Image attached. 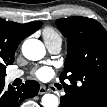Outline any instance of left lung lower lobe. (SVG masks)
Listing matches in <instances>:
<instances>
[{
  "label": "left lung lower lobe",
  "instance_id": "left-lung-lower-lobe-1",
  "mask_svg": "<svg viewBox=\"0 0 107 107\" xmlns=\"http://www.w3.org/2000/svg\"><path fill=\"white\" fill-rule=\"evenodd\" d=\"M66 94L62 96L59 107H107V87L96 86L85 89L77 97L71 90L65 88Z\"/></svg>",
  "mask_w": 107,
  "mask_h": 107
}]
</instances>
